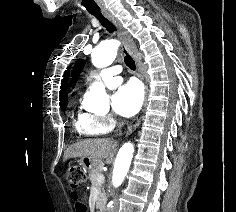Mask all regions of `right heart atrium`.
I'll list each match as a JSON object with an SVG mask.
<instances>
[{"label":"right heart atrium","instance_id":"d8ad5b80","mask_svg":"<svg viewBox=\"0 0 236 212\" xmlns=\"http://www.w3.org/2000/svg\"><path fill=\"white\" fill-rule=\"evenodd\" d=\"M98 121L102 126L103 133L109 132L116 124V120L111 114L99 116Z\"/></svg>","mask_w":236,"mask_h":212}]
</instances>
